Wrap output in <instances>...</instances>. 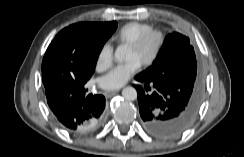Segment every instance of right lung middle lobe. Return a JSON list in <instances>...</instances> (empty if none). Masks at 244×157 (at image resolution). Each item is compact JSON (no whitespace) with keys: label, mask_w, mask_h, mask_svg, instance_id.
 <instances>
[{"label":"right lung middle lobe","mask_w":244,"mask_h":157,"mask_svg":"<svg viewBox=\"0 0 244 157\" xmlns=\"http://www.w3.org/2000/svg\"><path fill=\"white\" fill-rule=\"evenodd\" d=\"M117 22H81L61 30L49 45L42 63L46 91L68 84H85L94 72L99 53Z\"/></svg>","instance_id":"dd1d6c3e"}]
</instances>
